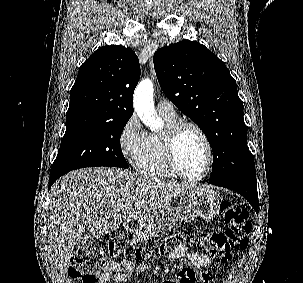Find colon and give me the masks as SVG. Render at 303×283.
Segmentation results:
<instances>
[{
    "instance_id": "1",
    "label": "colon",
    "mask_w": 303,
    "mask_h": 283,
    "mask_svg": "<svg viewBox=\"0 0 303 283\" xmlns=\"http://www.w3.org/2000/svg\"><path fill=\"white\" fill-rule=\"evenodd\" d=\"M221 214L226 228L220 231H202L194 234L196 244L214 261L227 263L235 250L244 249L248 243V234L252 229L249 211L236 206L230 201L220 205ZM167 247L163 244L151 247H130L125 244L109 241L79 250L68 267V274L74 280L83 283H97L100 271L110 261L132 259L143 262L151 258L164 256ZM202 271L194 268L180 270L174 278L164 283H201Z\"/></svg>"
}]
</instances>
